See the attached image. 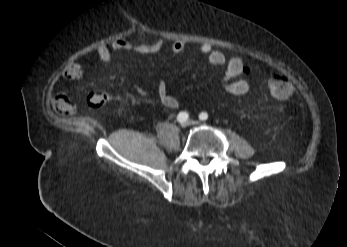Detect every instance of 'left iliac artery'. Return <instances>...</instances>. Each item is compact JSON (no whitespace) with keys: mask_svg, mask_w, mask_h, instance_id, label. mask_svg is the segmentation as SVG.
Returning <instances> with one entry per match:
<instances>
[{"mask_svg":"<svg viewBox=\"0 0 347 247\" xmlns=\"http://www.w3.org/2000/svg\"><path fill=\"white\" fill-rule=\"evenodd\" d=\"M199 119L202 120V121L207 120L208 119V114L206 112L200 113Z\"/></svg>","mask_w":347,"mask_h":247,"instance_id":"1","label":"left iliac artery"}]
</instances>
